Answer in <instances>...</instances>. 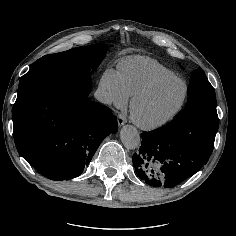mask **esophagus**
Wrapping results in <instances>:
<instances>
[{
  "instance_id": "1",
  "label": "esophagus",
  "mask_w": 236,
  "mask_h": 236,
  "mask_svg": "<svg viewBox=\"0 0 236 236\" xmlns=\"http://www.w3.org/2000/svg\"><path fill=\"white\" fill-rule=\"evenodd\" d=\"M117 121H118V125L122 126L127 122V119L125 118L123 114H119L117 117Z\"/></svg>"
}]
</instances>
